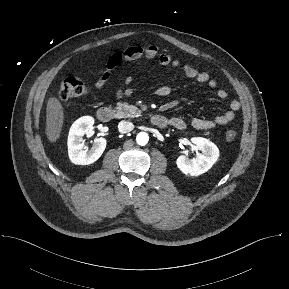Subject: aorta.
I'll list each match as a JSON object with an SVG mask.
<instances>
[{
  "label": "aorta",
  "instance_id": "1",
  "mask_svg": "<svg viewBox=\"0 0 289 289\" xmlns=\"http://www.w3.org/2000/svg\"><path fill=\"white\" fill-rule=\"evenodd\" d=\"M148 140H149V136L145 132L138 133L136 137L137 143L141 146L146 145L148 143Z\"/></svg>",
  "mask_w": 289,
  "mask_h": 289
}]
</instances>
